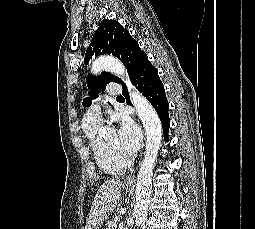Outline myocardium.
I'll return each mask as SVG.
<instances>
[{
	"instance_id": "obj_1",
	"label": "myocardium",
	"mask_w": 255,
	"mask_h": 229,
	"mask_svg": "<svg viewBox=\"0 0 255 229\" xmlns=\"http://www.w3.org/2000/svg\"><path fill=\"white\" fill-rule=\"evenodd\" d=\"M106 148L117 158L119 159L120 161L122 162H125L126 164H129L132 160L131 157L125 155L124 153L120 152V151H117V150H113L111 149L110 147H108L106 144H105Z\"/></svg>"
}]
</instances>
